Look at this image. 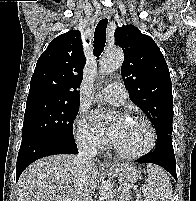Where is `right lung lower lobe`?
Wrapping results in <instances>:
<instances>
[{"instance_id":"obj_1","label":"right lung lower lobe","mask_w":196,"mask_h":201,"mask_svg":"<svg viewBox=\"0 0 196 201\" xmlns=\"http://www.w3.org/2000/svg\"><path fill=\"white\" fill-rule=\"evenodd\" d=\"M74 139H64L52 135H34L22 139L16 164V179L23 170L39 158L53 154H77Z\"/></svg>"}]
</instances>
